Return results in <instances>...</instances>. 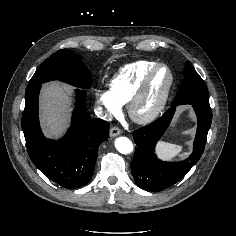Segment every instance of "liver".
<instances>
[{
    "label": "liver",
    "instance_id": "obj_1",
    "mask_svg": "<svg viewBox=\"0 0 236 236\" xmlns=\"http://www.w3.org/2000/svg\"><path fill=\"white\" fill-rule=\"evenodd\" d=\"M71 87L58 82L45 84L40 98V119L45 132L50 137H59L68 123Z\"/></svg>",
    "mask_w": 236,
    "mask_h": 236
}]
</instances>
